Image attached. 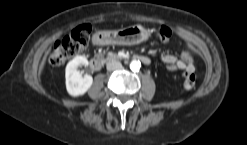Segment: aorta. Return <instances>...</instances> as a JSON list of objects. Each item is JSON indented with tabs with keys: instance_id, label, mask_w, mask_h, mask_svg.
I'll return each instance as SVG.
<instances>
[{
	"instance_id": "1",
	"label": "aorta",
	"mask_w": 247,
	"mask_h": 145,
	"mask_svg": "<svg viewBox=\"0 0 247 145\" xmlns=\"http://www.w3.org/2000/svg\"><path fill=\"white\" fill-rule=\"evenodd\" d=\"M140 67H141V62L139 60H132L130 62V69L132 71H139Z\"/></svg>"
}]
</instances>
